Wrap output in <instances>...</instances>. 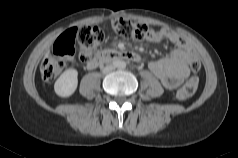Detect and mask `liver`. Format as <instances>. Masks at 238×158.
<instances>
[{
    "label": "liver",
    "instance_id": "6515ba94",
    "mask_svg": "<svg viewBox=\"0 0 238 158\" xmlns=\"http://www.w3.org/2000/svg\"><path fill=\"white\" fill-rule=\"evenodd\" d=\"M49 57V51L45 54V58Z\"/></svg>",
    "mask_w": 238,
    "mask_h": 158
}]
</instances>
